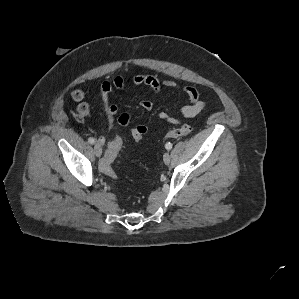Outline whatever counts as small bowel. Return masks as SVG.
Wrapping results in <instances>:
<instances>
[{
  "mask_svg": "<svg viewBox=\"0 0 299 299\" xmlns=\"http://www.w3.org/2000/svg\"><path fill=\"white\" fill-rule=\"evenodd\" d=\"M134 86H147L153 92L158 93L161 88L168 87L174 90H179L180 86L171 79H164L160 81L153 75L138 74L132 79ZM125 81L122 77L116 76L111 81H104L100 86V95L105 103V112L108 123L110 126H114L115 122L122 126L128 127L130 123V115L127 112L118 114V107L115 104L109 103V99L113 90H122L124 88ZM183 92L187 95L189 103L182 106L178 115H171L166 112H161L159 117L171 124H178L182 119L192 118L200 114L206 107V103L199 99L198 91L191 86H185L182 88ZM72 100L78 103L77 117L80 120L85 119L90 113L89 104L86 102L87 94L82 89H75L71 93ZM142 108L150 111L154 107V102L150 99H143L140 102ZM137 127L143 128L147 132V128L144 125H138ZM100 144L106 143V138L101 136L99 138Z\"/></svg>",
  "mask_w": 299,
  "mask_h": 299,
  "instance_id": "c3829d8e",
  "label": "small bowel"
}]
</instances>
